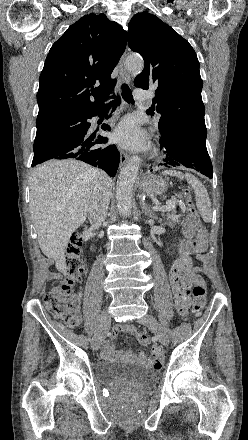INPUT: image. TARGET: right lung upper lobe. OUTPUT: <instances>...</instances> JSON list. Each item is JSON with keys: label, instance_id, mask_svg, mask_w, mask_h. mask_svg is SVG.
I'll return each mask as SVG.
<instances>
[{"label": "right lung upper lobe", "instance_id": "right-lung-upper-lobe-1", "mask_svg": "<svg viewBox=\"0 0 248 440\" xmlns=\"http://www.w3.org/2000/svg\"><path fill=\"white\" fill-rule=\"evenodd\" d=\"M126 41V31L104 14L91 13L71 25L52 45L41 72L37 127L102 104L114 86L110 75Z\"/></svg>", "mask_w": 248, "mask_h": 440}]
</instances>
